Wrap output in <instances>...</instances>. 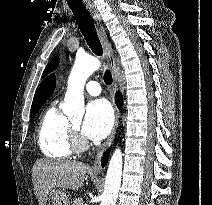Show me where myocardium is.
<instances>
[{
	"label": "myocardium",
	"instance_id": "obj_1",
	"mask_svg": "<svg viewBox=\"0 0 212 205\" xmlns=\"http://www.w3.org/2000/svg\"><path fill=\"white\" fill-rule=\"evenodd\" d=\"M70 129H71V145L73 150L83 151L87 147V145L84 142V140L79 136L78 128L74 126V124H72Z\"/></svg>",
	"mask_w": 212,
	"mask_h": 205
}]
</instances>
